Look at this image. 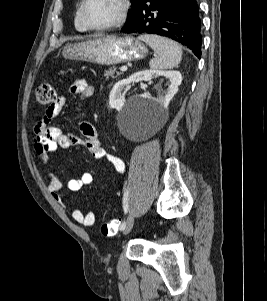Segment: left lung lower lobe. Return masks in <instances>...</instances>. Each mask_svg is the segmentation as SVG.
I'll return each instance as SVG.
<instances>
[{"label": "left lung lower lobe", "instance_id": "0a47b994", "mask_svg": "<svg viewBox=\"0 0 267 301\" xmlns=\"http://www.w3.org/2000/svg\"><path fill=\"white\" fill-rule=\"evenodd\" d=\"M121 31L166 36L201 57V21L196 0H145L135 20Z\"/></svg>", "mask_w": 267, "mask_h": 301}]
</instances>
